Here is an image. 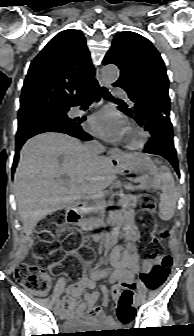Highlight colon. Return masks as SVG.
Returning a JSON list of instances; mask_svg holds the SVG:
<instances>
[{
  "label": "colon",
  "instance_id": "obj_1",
  "mask_svg": "<svg viewBox=\"0 0 194 336\" xmlns=\"http://www.w3.org/2000/svg\"><path fill=\"white\" fill-rule=\"evenodd\" d=\"M155 205L150 197H143L139 223L143 228L139 245L146 256L158 263L150 271L142 268L141 276L148 289H157L166 280L172 266V257L164 253L162 241L167 238L168 231L159 227L153 219ZM64 215L56 212L43 219L36 229V248L39 256L50 257L54 264L61 265L63 252L61 239L66 235L60 231ZM15 278L26 290L36 296H45L50 289V274L46 267L30 264H19L15 269ZM123 300L131 298V290L122 292Z\"/></svg>",
  "mask_w": 194,
  "mask_h": 336
}]
</instances>
